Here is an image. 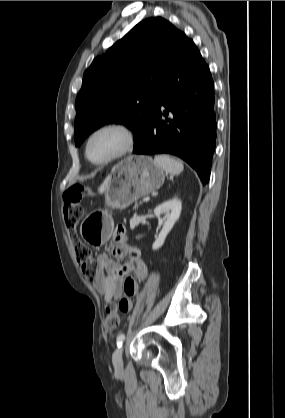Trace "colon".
Here are the masks:
<instances>
[{
	"label": "colon",
	"mask_w": 285,
	"mask_h": 418,
	"mask_svg": "<svg viewBox=\"0 0 285 418\" xmlns=\"http://www.w3.org/2000/svg\"><path fill=\"white\" fill-rule=\"evenodd\" d=\"M83 192L77 185L72 186L64 193V220L68 232V239L73 245L75 258L81 267L84 275L90 279L97 275V263L92 258V252L79 236L77 227L81 219L82 210L80 206ZM124 232L123 228H118L116 234ZM106 326L115 328L118 326L120 318L116 305L109 302L105 306Z\"/></svg>",
	"instance_id": "5ec220e1"
}]
</instances>
